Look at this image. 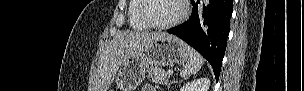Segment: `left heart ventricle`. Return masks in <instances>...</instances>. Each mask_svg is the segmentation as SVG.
<instances>
[{
	"label": "left heart ventricle",
	"mask_w": 304,
	"mask_h": 91,
	"mask_svg": "<svg viewBox=\"0 0 304 91\" xmlns=\"http://www.w3.org/2000/svg\"><path fill=\"white\" fill-rule=\"evenodd\" d=\"M181 11L179 0H149L146 14L155 24H165L175 19Z\"/></svg>",
	"instance_id": "1"
}]
</instances>
